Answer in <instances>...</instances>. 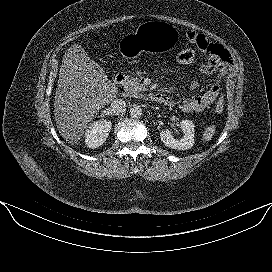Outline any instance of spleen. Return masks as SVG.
<instances>
[{
  "label": "spleen",
  "instance_id": "obj_1",
  "mask_svg": "<svg viewBox=\"0 0 272 272\" xmlns=\"http://www.w3.org/2000/svg\"><path fill=\"white\" fill-rule=\"evenodd\" d=\"M214 134H215V126L214 125L205 128V130L203 132V136H202L203 141L204 142L211 141Z\"/></svg>",
  "mask_w": 272,
  "mask_h": 272
}]
</instances>
